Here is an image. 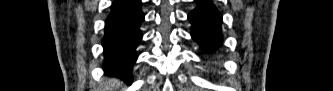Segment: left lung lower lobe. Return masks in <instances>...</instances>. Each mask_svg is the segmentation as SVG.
<instances>
[{
	"label": "left lung lower lobe",
	"instance_id": "1",
	"mask_svg": "<svg viewBox=\"0 0 333 91\" xmlns=\"http://www.w3.org/2000/svg\"><path fill=\"white\" fill-rule=\"evenodd\" d=\"M188 19L193 28L192 38L206 52L215 51L222 42V15L210 0H198Z\"/></svg>",
	"mask_w": 333,
	"mask_h": 91
}]
</instances>
